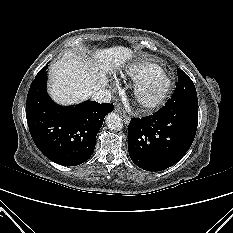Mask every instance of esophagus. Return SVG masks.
I'll list each match as a JSON object with an SVG mask.
<instances>
[{
    "instance_id": "esophagus-1",
    "label": "esophagus",
    "mask_w": 233,
    "mask_h": 233,
    "mask_svg": "<svg viewBox=\"0 0 233 233\" xmlns=\"http://www.w3.org/2000/svg\"><path fill=\"white\" fill-rule=\"evenodd\" d=\"M116 112H118L121 115V117H122V119H123V121L125 123H129L130 122V118L125 113H123L119 109H116Z\"/></svg>"
}]
</instances>
